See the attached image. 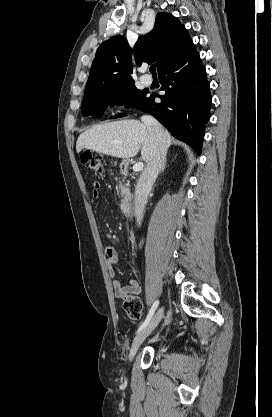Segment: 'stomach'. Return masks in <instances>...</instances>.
<instances>
[{
    "instance_id": "obj_1",
    "label": "stomach",
    "mask_w": 272,
    "mask_h": 417,
    "mask_svg": "<svg viewBox=\"0 0 272 417\" xmlns=\"http://www.w3.org/2000/svg\"><path fill=\"white\" fill-rule=\"evenodd\" d=\"M126 163V161H124L122 164L124 165Z\"/></svg>"
}]
</instances>
